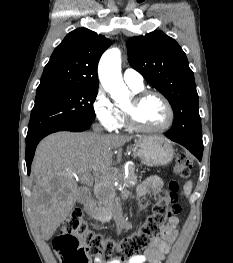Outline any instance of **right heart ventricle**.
Returning a JSON list of instances; mask_svg holds the SVG:
<instances>
[{
  "label": "right heart ventricle",
  "mask_w": 233,
  "mask_h": 263,
  "mask_svg": "<svg viewBox=\"0 0 233 263\" xmlns=\"http://www.w3.org/2000/svg\"><path fill=\"white\" fill-rule=\"evenodd\" d=\"M130 88H131V90L133 91V93L138 92V91H141V90L143 89V87H142V88H133V87H130ZM118 110H119V109H118ZM119 112H120L121 117H122V122H121V125H120V127H122V126L125 125V118H124V115H123L122 111L119 110Z\"/></svg>",
  "instance_id": "1"
}]
</instances>
